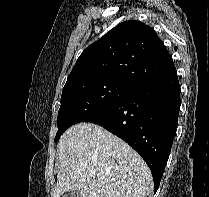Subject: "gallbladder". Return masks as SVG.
<instances>
[{"instance_id":"1","label":"gallbladder","mask_w":209,"mask_h":197,"mask_svg":"<svg viewBox=\"0 0 209 197\" xmlns=\"http://www.w3.org/2000/svg\"><path fill=\"white\" fill-rule=\"evenodd\" d=\"M62 197H81V195L79 191L73 190V191L67 192Z\"/></svg>"}]
</instances>
